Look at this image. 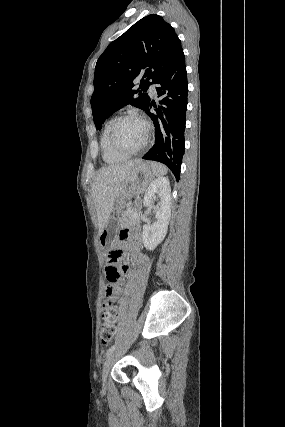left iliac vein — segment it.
<instances>
[{"label":"left iliac vein","mask_w":285,"mask_h":427,"mask_svg":"<svg viewBox=\"0 0 285 427\" xmlns=\"http://www.w3.org/2000/svg\"><path fill=\"white\" fill-rule=\"evenodd\" d=\"M116 352L113 351L107 358L104 367H103V372H102V378H103V382L106 383L107 382V377H108V373L110 371L111 365L114 361Z\"/></svg>","instance_id":"left-iliac-vein-1"}]
</instances>
